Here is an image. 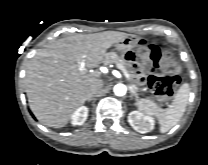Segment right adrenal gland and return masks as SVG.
Listing matches in <instances>:
<instances>
[{"label": "right adrenal gland", "instance_id": "2a0ac1e0", "mask_svg": "<svg viewBox=\"0 0 208 165\" xmlns=\"http://www.w3.org/2000/svg\"><path fill=\"white\" fill-rule=\"evenodd\" d=\"M93 98H94V95L89 94V95L86 97L85 101L90 102L91 100H93Z\"/></svg>", "mask_w": 208, "mask_h": 165}]
</instances>
